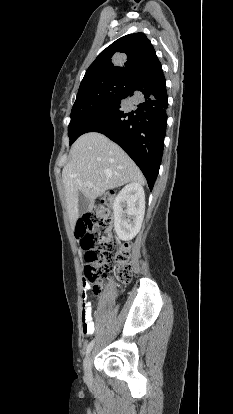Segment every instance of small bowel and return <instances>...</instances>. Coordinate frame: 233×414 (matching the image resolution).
I'll list each match as a JSON object with an SVG mask.
<instances>
[{
	"label": "small bowel",
	"instance_id": "small-bowel-1",
	"mask_svg": "<svg viewBox=\"0 0 233 414\" xmlns=\"http://www.w3.org/2000/svg\"><path fill=\"white\" fill-rule=\"evenodd\" d=\"M82 274L84 275L85 273L83 272ZM82 283V330L85 336H90L94 332V322L91 302L87 294L90 289L89 278L83 277Z\"/></svg>",
	"mask_w": 233,
	"mask_h": 414
}]
</instances>
